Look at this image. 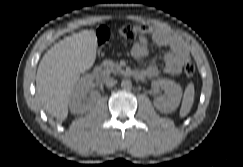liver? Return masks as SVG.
<instances>
[{
    "label": "liver",
    "mask_w": 243,
    "mask_h": 167,
    "mask_svg": "<svg viewBox=\"0 0 243 167\" xmlns=\"http://www.w3.org/2000/svg\"><path fill=\"white\" fill-rule=\"evenodd\" d=\"M96 50V33L83 30L61 40L42 57L36 90L44 109L58 121L67 118L72 89L80 74L93 66Z\"/></svg>",
    "instance_id": "6515ba94"
}]
</instances>
